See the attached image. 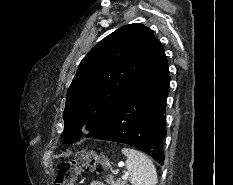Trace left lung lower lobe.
Returning a JSON list of instances; mask_svg holds the SVG:
<instances>
[{"label": "left lung lower lobe", "instance_id": "left-lung-lower-lobe-1", "mask_svg": "<svg viewBox=\"0 0 233 185\" xmlns=\"http://www.w3.org/2000/svg\"><path fill=\"white\" fill-rule=\"evenodd\" d=\"M169 82L164 55L129 89L110 118L87 137L129 144L163 164Z\"/></svg>", "mask_w": 233, "mask_h": 185}]
</instances>
